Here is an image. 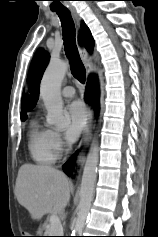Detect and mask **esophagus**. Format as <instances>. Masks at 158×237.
<instances>
[{"mask_svg":"<svg viewBox=\"0 0 158 237\" xmlns=\"http://www.w3.org/2000/svg\"><path fill=\"white\" fill-rule=\"evenodd\" d=\"M70 10L72 12L73 17L75 19H78L75 9L70 8ZM79 54H80V57L85 65L87 74L90 75L93 72V68H92L91 58H90L87 50L85 48L79 46ZM87 113H88V121H87V124H86L84 132H83L82 140L79 144V154H78V157L76 160V167L75 168L79 167L81 165V163L83 162L85 148L88 146V143L91 139L92 127H93V123H94V110L90 104L87 105Z\"/></svg>","mask_w":158,"mask_h":237,"instance_id":"1","label":"esophagus"}]
</instances>
